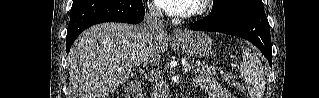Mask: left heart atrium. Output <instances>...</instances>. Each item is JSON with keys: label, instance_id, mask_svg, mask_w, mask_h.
Returning a JSON list of instances; mask_svg holds the SVG:
<instances>
[{"label": "left heart atrium", "instance_id": "1", "mask_svg": "<svg viewBox=\"0 0 319 98\" xmlns=\"http://www.w3.org/2000/svg\"><path fill=\"white\" fill-rule=\"evenodd\" d=\"M157 3L168 14L182 15L191 12L196 2L193 0H158Z\"/></svg>", "mask_w": 319, "mask_h": 98}]
</instances>
